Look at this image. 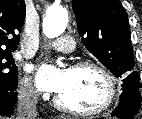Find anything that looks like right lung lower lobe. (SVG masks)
I'll use <instances>...</instances> for the list:
<instances>
[{
	"instance_id": "1",
	"label": "right lung lower lobe",
	"mask_w": 142,
	"mask_h": 119,
	"mask_svg": "<svg viewBox=\"0 0 142 119\" xmlns=\"http://www.w3.org/2000/svg\"><path fill=\"white\" fill-rule=\"evenodd\" d=\"M16 100L15 90H0V115L11 116Z\"/></svg>"
}]
</instances>
